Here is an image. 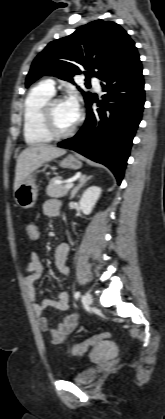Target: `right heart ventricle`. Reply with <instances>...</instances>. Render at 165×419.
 <instances>
[{"label":"right heart ventricle","instance_id":"1","mask_svg":"<svg viewBox=\"0 0 165 419\" xmlns=\"http://www.w3.org/2000/svg\"><path fill=\"white\" fill-rule=\"evenodd\" d=\"M53 95L44 83L34 86L27 94L23 106V134L27 143L43 144L52 140L43 128L41 109Z\"/></svg>","mask_w":165,"mask_h":419}]
</instances>
